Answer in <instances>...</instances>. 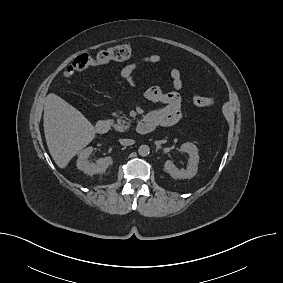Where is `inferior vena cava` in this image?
<instances>
[{
  "instance_id": "obj_1",
  "label": "inferior vena cava",
  "mask_w": 283,
  "mask_h": 283,
  "mask_svg": "<svg viewBox=\"0 0 283 283\" xmlns=\"http://www.w3.org/2000/svg\"><path fill=\"white\" fill-rule=\"evenodd\" d=\"M120 143L124 146L133 145L135 141L133 139H120Z\"/></svg>"
}]
</instances>
